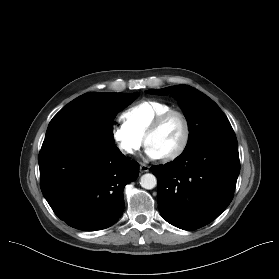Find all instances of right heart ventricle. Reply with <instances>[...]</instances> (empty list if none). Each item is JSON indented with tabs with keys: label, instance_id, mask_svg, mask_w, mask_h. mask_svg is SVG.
Wrapping results in <instances>:
<instances>
[{
	"label": "right heart ventricle",
	"instance_id": "right-heart-ventricle-1",
	"mask_svg": "<svg viewBox=\"0 0 279 279\" xmlns=\"http://www.w3.org/2000/svg\"><path fill=\"white\" fill-rule=\"evenodd\" d=\"M170 109H172L171 105L164 101L144 99L126 109L122 118L134 132L143 137L155 118Z\"/></svg>",
	"mask_w": 279,
	"mask_h": 279
}]
</instances>
